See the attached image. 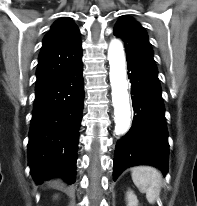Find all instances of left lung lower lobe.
I'll use <instances>...</instances> for the list:
<instances>
[{
	"label": "left lung lower lobe",
	"instance_id": "0a47b994",
	"mask_svg": "<svg viewBox=\"0 0 197 206\" xmlns=\"http://www.w3.org/2000/svg\"><path fill=\"white\" fill-rule=\"evenodd\" d=\"M134 108L132 127L116 144L113 179L130 166L147 164L168 171V132L160 83L127 62Z\"/></svg>",
	"mask_w": 197,
	"mask_h": 206
}]
</instances>
